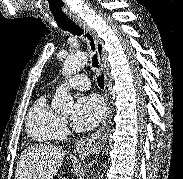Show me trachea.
<instances>
[{
    "mask_svg": "<svg viewBox=\"0 0 183 179\" xmlns=\"http://www.w3.org/2000/svg\"><path fill=\"white\" fill-rule=\"evenodd\" d=\"M53 15L59 27L64 31H69L73 35H77V36H81L83 34L82 28H80L76 23L70 20L62 11L60 13L53 12ZM86 36L90 40L91 49L94 51L95 45H94L93 37L89 33H87ZM92 66L94 68L99 67L97 55H93L92 57ZM97 81H98L99 87L103 89L104 75L103 74L99 75V77H97Z\"/></svg>",
    "mask_w": 183,
    "mask_h": 179,
    "instance_id": "3493384b",
    "label": "trachea"
}]
</instances>
